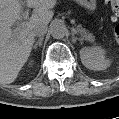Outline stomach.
<instances>
[{"mask_svg":"<svg viewBox=\"0 0 119 119\" xmlns=\"http://www.w3.org/2000/svg\"><path fill=\"white\" fill-rule=\"evenodd\" d=\"M76 1L89 11H94L96 8V0H76Z\"/></svg>","mask_w":119,"mask_h":119,"instance_id":"stomach-1","label":"stomach"}]
</instances>
